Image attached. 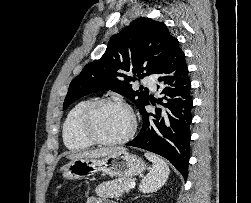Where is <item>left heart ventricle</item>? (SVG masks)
I'll return each mask as SVG.
<instances>
[{"label": "left heart ventricle", "instance_id": "b2bd125f", "mask_svg": "<svg viewBox=\"0 0 251 203\" xmlns=\"http://www.w3.org/2000/svg\"><path fill=\"white\" fill-rule=\"evenodd\" d=\"M130 125V116L124 108L115 104H105L96 109L91 127L100 138L115 140L124 136Z\"/></svg>", "mask_w": 251, "mask_h": 203}]
</instances>
